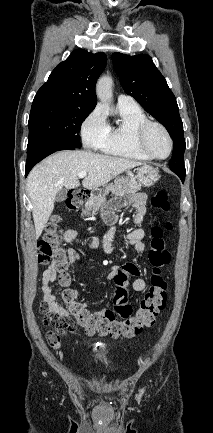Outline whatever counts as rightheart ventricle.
<instances>
[{
    "label": "right heart ventricle",
    "instance_id": "right-heart-ventricle-1",
    "mask_svg": "<svg viewBox=\"0 0 213 433\" xmlns=\"http://www.w3.org/2000/svg\"><path fill=\"white\" fill-rule=\"evenodd\" d=\"M119 122L108 124L107 133L99 147L101 152L129 159L149 160L135 143V130L139 124L148 120L143 110L137 105L118 104Z\"/></svg>",
    "mask_w": 213,
    "mask_h": 433
}]
</instances>
